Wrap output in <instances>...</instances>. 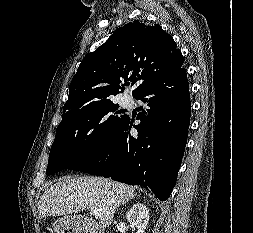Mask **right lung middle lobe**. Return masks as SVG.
<instances>
[{
    "label": "right lung middle lobe",
    "instance_id": "dd1d6c3e",
    "mask_svg": "<svg viewBox=\"0 0 253 233\" xmlns=\"http://www.w3.org/2000/svg\"><path fill=\"white\" fill-rule=\"evenodd\" d=\"M117 104L103 101L62 118L51 146L47 175L70 169L101 151L109 142L125 115Z\"/></svg>",
    "mask_w": 253,
    "mask_h": 233
}]
</instances>
